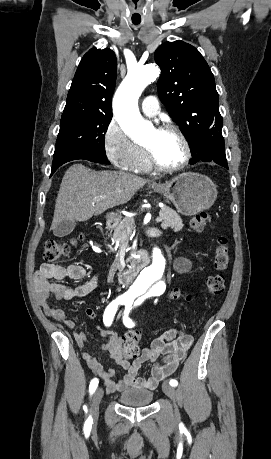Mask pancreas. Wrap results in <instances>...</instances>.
I'll use <instances>...</instances> for the list:
<instances>
[{"instance_id": "pancreas-1", "label": "pancreas", "mask_w": 271, "mask_h": 459, "mask_svg": "<svg viewBox=\"0 0 271 459\" xmlns=\"http://www.w3.org/2000/svg\"><path fill=\"white\" fill-rule=\"evenodd\" d=\"M160 217L162 219L161 228H174V231H179L182 229L184 224H182V220L174 210L171 208H162L159 212ZM134 218H124L121 224L114 229L113 239L119 241V245H127L130 242L129 235L132 233V229H134Z\"/></svg>"}]
</instances>
